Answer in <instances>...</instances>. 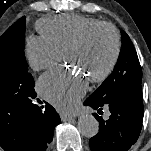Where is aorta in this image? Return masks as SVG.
Returning a JSON list of instances; mask_svg holds the SVG:
<instances>
[{"instance_id":"aorta-1","label":"aorta","mask_w":151,"mask_h":151,"mask_svg":"<svg viewBox=\"0 0 151 151\" xmlns=\"http://www.w3.org/2000/svg\"><path fill=\"white\" fill-rule=\"evenodd\" d=\"M78 128L84 137L91 138L98 133L99 124L94 116L86 114L79 118Z\"/></svg>"}]
</instances>
